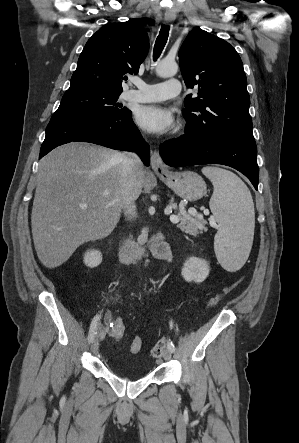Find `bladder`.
<instances>
[{"mask_svg": "<svg viewBox=\"0 0 299 443\" xmlns=\"http://www.w3.org/2000/svg\"><path fill=\"white\" fill-rule=\"evenodd\" d=\"M129 367L127 369H121L115 365H110L109 368L111 372L119 377L128 380H137L143 378L146 375V371L142 365L135 364L134 362H129Z\"/></svg>", "mask_w": 299, "mask_h": 443, "instance_id": "1", "label": "bladder"}]
</instances>
